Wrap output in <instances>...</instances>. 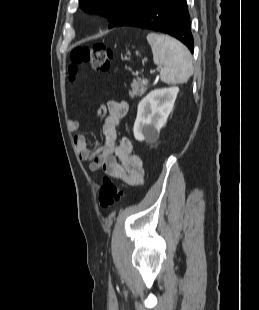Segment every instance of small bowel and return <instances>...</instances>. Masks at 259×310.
I'll list each match as a JSON object with an SVG mask.
<instances>
[{"mask_svg":"<svg viewBox=\"0 0 259 310\" xmlns=\"http://www.w3.org/2000/svg\"><path fill=\"white\" fill-rule=\"evenodd\" d=\"M129 110L125 101L110 100L106 105H100L96 114L103 118V145L90 149L84 135L74 136V145L80 158L89 164L92 173L102 170L106 175L120 180L130 186L144 183V169L141 158L134 153L132 142L124 137L117 142V127ZM73 133L80 129V122L71 119L68 123Z\"/></svg>","mask_w":259,"mask_h":310,"instance_id":"obj_1","label":"small bowel"}]
</instances>
